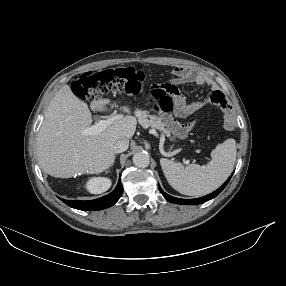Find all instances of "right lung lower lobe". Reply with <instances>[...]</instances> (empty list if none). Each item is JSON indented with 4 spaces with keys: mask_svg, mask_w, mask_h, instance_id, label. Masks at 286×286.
I'll return each mask as SVG.
<instances>
[{
    "mask_svg": "<svg viewBox=\"0 0 286 286\" xmlns=\"http://www.w3.org/2000/svg\"><path fill=\"white\" fill-rule=\"evenodd\" d=\"M123 192V186L121 181L119 180L115 190L99 199L90 200V201H79V200H64L61 199L68 206L78 209V210H87V211H95L101 210L114 205L118 199L120 198Z\"/></svg>",
    "mask_w": 286,
    "mask_h": 286,
    "instance_id": "98d812e1",
    "label": "right lung lower lobe"
}]
</instances>
